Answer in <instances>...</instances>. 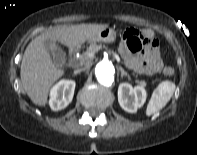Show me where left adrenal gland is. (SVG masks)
<instances>
[{
  "label": "left adrenal gland",
  "instance_id": "obj_1",
  "mask_svg": "<svg viewBox=\"0 0 197 155\" xmlns=\"http://www.w3.org/2000/svg\"><path fill=\"white\" fill-rule=\"evenodd\" d=\"M119 70L121 71V77L126 76L128 79H130V76L124 71L122 67H119Z\"/></svg>",
  "mask_w": 197,
  "mask_h": 155
}]
</instances>
